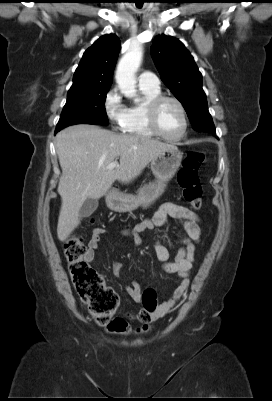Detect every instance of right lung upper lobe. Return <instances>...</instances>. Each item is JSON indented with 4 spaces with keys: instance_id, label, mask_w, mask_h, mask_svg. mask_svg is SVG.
<instances>
[{
    "instance_id": "cb5924a9",
    "label": "right lung upper lobe",
    "mask_w": 272,
    "mask_h": 401,
    "mask_svg": "<svg viewBox=\"0 0 272 401\" xmlns=\"http://www.w3.org/2000/svg\"><path fill=\"white\" fill-rule=\"evenodd\" d=\"M120 50V40L114 34L100 37L83 54L68 95L81 91L110 87Z\"/></svg>"
}]
</instances>
